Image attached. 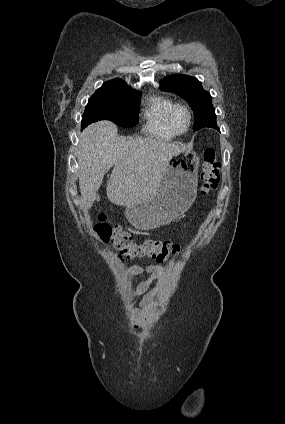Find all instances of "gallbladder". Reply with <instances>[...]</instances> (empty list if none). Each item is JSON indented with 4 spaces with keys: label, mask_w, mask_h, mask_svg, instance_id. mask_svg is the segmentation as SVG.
<instances>
[{
    "label": "gallbladder",
    "mask_w": 285,
    "mask_h": 424,
    "mask_svg": "<svg viewBox=\"0 0 285 424\" xmlns=\"http://www.w3.org/2000/svg\"><path fill=\"white\" fill-rule=\"evenodd\" d=\"M96 200H97V201H99V200H100V196H99V195H97V196H96Z\"/></svg>",
    "instance_id": "bac80fb5"
}]
</instances>
